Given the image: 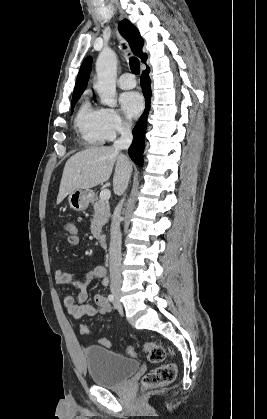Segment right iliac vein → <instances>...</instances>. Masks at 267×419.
Instances as JSON below:
<instances>
[{
	"mask_svg": "<svg viewBox=\"0 0 267 419\" xmlns=\"http://www.w3.org/2000/svg\"><path fill=\"white\" fill-rule=\"evenodd\" d=\"M113 295L115 296V298H116V299H118V298H119V293H118L117 291H114V292H113Z\"/></svg>",
	"mask_w": 267,
	"mask_h": 419,
	"instance_id": "obj_1",
	"label": "right iliac vein"
}]
</instances>
